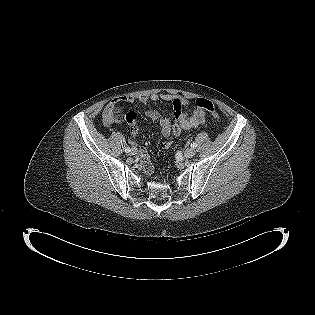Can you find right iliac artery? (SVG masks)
Masks as SVG:
<instances>
[{
	"instance_id": "right-iliac-artery-1",
	"label": "right iliac artery",
	"mask_w": 315,
	"mask_h": 315,
	"mask_svg": "<svg viewBox=\"0 0 315 315\" xmlns=\"http://www.w3.org/2000/svg\"><path fill=\"white\" fill-rule=\"evenodd\" d=\"M130 151H131L130 147H126V148H125V152H126V153H129Z\"/></svg>"
}]
</instances>
